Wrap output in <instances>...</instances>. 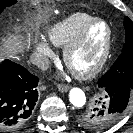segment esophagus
<instances>
[{
	"label": "esophagus",
	"mask_w": 133,
	"mask_h": 133,
	"mask_svg": "<svg viewBox=\"0 0 133 133\" xmlns=\"http://www.w3.org/2000/svg\"><path fill=\"white\" fill-rule=\"evenodd\" d=\"M57 88L60 92H67L70 86L66 84H58Z\"/></svg>",
	"instance_id": "1"
}]
</instances>
